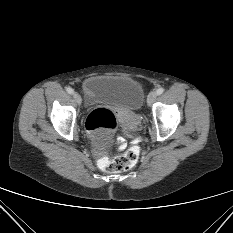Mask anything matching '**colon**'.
I'll return each instance as SVG.
<instances>
[{
  "label": "colon",
  "mask_w": 233,
  "mask_h": 233,
  "mask_svg": "<svg viewBox=\"0 0 233 233\" xmlns=\"http://www.w3.org/2000/svg\"><path fill=\"white\" fill-rule=\"evenodd\" d=\"M117 120L115 114L108 109L99 108L93 110L86 120V129L90 132L97 130L113 131L116 128ZM139 156L138 148L129 149L124 154L109 160L108 158H100L99 166L109 173H119L132 168Z\"/></svg>",
  "instance_id": "1"
}]
</instances>
